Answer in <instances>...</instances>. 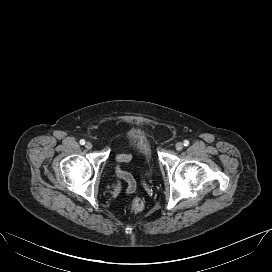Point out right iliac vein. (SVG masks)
I'll use <instances>...</instances> for the list:
<instances>
[{
  "instance_id": "63e3f726",
  "label": "right iliac vein",
  "mask_w": 272,
  "mask_h": 272,
  "mask_svg": "<svg viewBox=\"0 0 272 272\" xmlns=\"http://www.w3.org/2000/svg\"><path fill=\"white\" fill-rule=\"evenodd\" d=\"M92 147H93V145H92L91 142H87V143L85 144V148H86L87 150H90Z\"/></svg>"
}]
</instances>
